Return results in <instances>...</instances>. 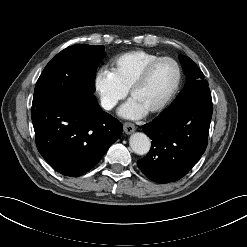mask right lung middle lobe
<instances>
[{"label":"right lung middle lobe","instance_id":"1","mask_svg":"<svg viewBox=\"0 0 247 247\" xmlns=\"http://www.w3.org/2000/svg\"><path fill=\"white\" fill-rule=\"evenodd\" d=\"M104 46L77 44L58 53L45 67L34 90L33 103L54 94L84 104L97 103L95 96L96 69L104 56Z\"/></svg>","mask_w":247,"mask_h":247}]
</instances>
